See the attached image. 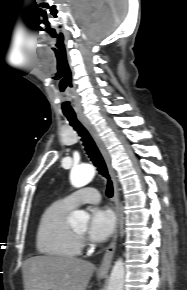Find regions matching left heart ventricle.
I'll return each instance as SVG.
<instances>
[{
    "label": "left heart ventricle",
    "mask_w": 187,
    "mask_h": 290,
    "mask_svg": "<svg viewBox=\"0 0 187 290\" xmlns=\"http://www.w3.org/2000/svg\"><path fill=\"white\" fill-rule=\"evenodd\" d=\"M75 232H77L78 234H84L85 229L84 228L75 229Z\"/></svg>",
    "instance_id": "1"
}]
</instances>
